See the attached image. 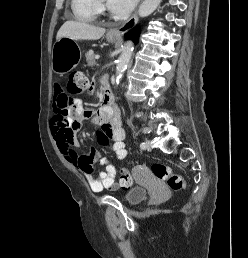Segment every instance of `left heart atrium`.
<instances>
[{"mask_svg":"<svg viewBox=\"0 0 248 258\" xmlns=\"http://www.w3.org/2000/svg\"><path fill=\"white\" fill-rule=\"evenodd\" d=\"M138 0H107L108 8L117 16H125L132 11Z\"/></svg>","mask_w":248,"mask_h":258,"instance_id":"39dd6f15","label":"left heart atrium"}]
</instances>
